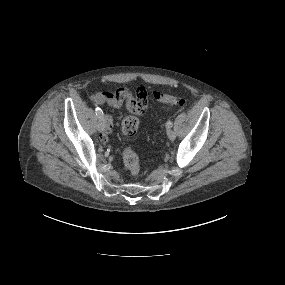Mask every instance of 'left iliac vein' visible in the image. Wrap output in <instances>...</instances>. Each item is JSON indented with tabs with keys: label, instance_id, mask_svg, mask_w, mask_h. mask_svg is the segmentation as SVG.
Returning <instances> with one entry per match:
<instances>
[{
	"label": "left iliac vein",
	"instance_id": "left-iliac-vein-1",
	"mask_svg": "<svg viewBox=\"0 0 285 285\" xmlns=\"http://www.w3.org/2000/svg\"><path fill=\"white\" fill-rule=\"evenodd\" d=\"M167 136L170 140H174L176 138V133L172 129H168Z\"/></svg>",
	"mask_w": 285,
	"mask_h": 285
}]
</instances>
